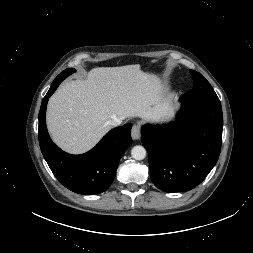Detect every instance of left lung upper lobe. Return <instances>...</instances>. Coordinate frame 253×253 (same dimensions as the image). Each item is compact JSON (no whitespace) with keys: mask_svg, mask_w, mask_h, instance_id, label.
Returning <instances> with one entry per match:
<instances>
[{"mask_svg":"<svg viewBox=\"0 0 253 253\" xmlns=\"http://www.w3.org/2000/svg\"><path fill=\"white\" fill-rule=\"evenodd\" d=\"M193 77L194 87L181 97V101L190 103L221 104L215 91L209 82L198 72L190 70Z\"/></svg>","mask_w":253,"mask_h":253,"instance_id":"obj_1","label":"left lung upper lobe"}]
</instances>
